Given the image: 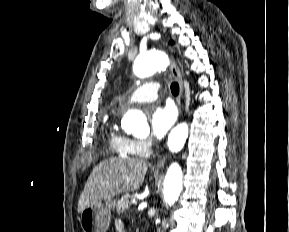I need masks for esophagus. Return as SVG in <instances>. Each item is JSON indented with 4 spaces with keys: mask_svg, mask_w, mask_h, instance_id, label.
Wrapping results in <instances>:
<instances>
[{
    "mask_svg": "<svg viewBox=\"0 0 289 232\" xmlns=\"http://www.w3.org/2000/svg\"><path fill=\"white\" fill-rule=\"evenodd\" d=\"M171 72H172L173 77L176 79V81L178 82L179 87H180L179 112L181 113V111H182V99H183V95H184L183 79H182V75L180 73V70L173 59L171 62ZM164 163H165V157L161 158L156 163L155 168L156 169L162 168L164 166Z\"/></svg>",
    "mask_w": 289,
    "mask_h": 232,
    "instance_id": "obj_1",
    "label": "esophagus"
}]
</instances>
